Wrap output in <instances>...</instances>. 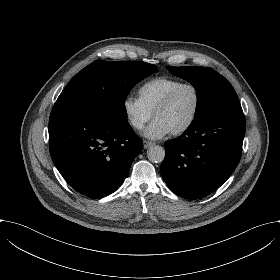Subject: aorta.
Here are the masks:
<instances>
[{"mask_svg":"<svg viewBox=\"0 0 280 280\" xmlns=\"http://www.w3.org/2000/svg\"><path fill=\"white\" fill-rule=\"evenodd\" d=\"M147 157L151 162H162L165 157V150L160 145H153L148 149Z\"/></svg>","mask_w":280,"mask_h":280,"instance_id":"762f6f07","label":"aorta"}]
</instances>
